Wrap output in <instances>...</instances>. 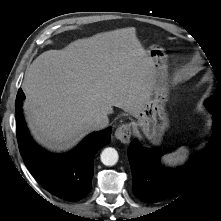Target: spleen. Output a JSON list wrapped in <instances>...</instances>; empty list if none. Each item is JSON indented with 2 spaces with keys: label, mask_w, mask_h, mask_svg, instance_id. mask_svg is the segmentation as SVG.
Returning a JSON list of instances; mask_svg holds the SVG:
<instances>
[{
  "label": "spleen",
  "mask_w": 221,
  "mask_h": 221,
  "mask_svg": "<svg viewBox=\"0 0 221 221\" xmlns=\"http://www.w3.org/2000/svg\"><path fill=\"white\" fill-rule=\"evenodd\" d=\"M188 152L186 147H180L177 151L163 156L162 163L168 166L182 164L187 159Z\"/></svg>",
  "instance_id": "obj_1"
}]
</instances>
